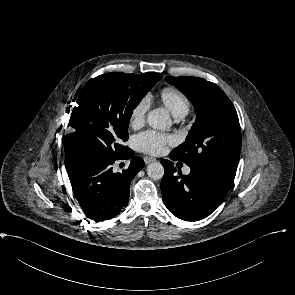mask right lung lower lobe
<instances>
[{
  "label": "right lung lower lobe",
  "instance_id": "1",
  "mask_svg": "<svg viewBox=\"0 0 295 295\" xmlns=\"http://www.w3.org/2000/svg\"><path fill=\"white\" fill-rule=\"evenodd\" d=\"M134 154L129 148L121 157L90 155L66 169L74 195L88 218L111 219L127 206L130 183L145 165L143 159ZM124 159H132L129 167L121 173L113 172V164Z\"/></svg>",
  "mask_w": 295,
  "mask_h": 295
}]
</instances>
